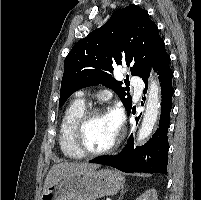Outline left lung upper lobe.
Instances as JSON below:
<instances>
[{"label": "left lung upper lobe", "instance_id": "1", "mask_svg": "<svg viewBox=\"0 0 201 200\" xmlns=\"http://www.w3.org/2000/svg\"><path fill=\"white\" fill-rule=\"evenodd\" d=\"M165 44L148 12L136 5L115 11L111 18L79 40L64 61L59 107L77 90L102 84L121 99L127 112L132 98L122 82L112 78L113 66L126 63L143 78L165 53Z\"/></svg>", "mask_w": 201, "mask_h": 200}]
</instances>
